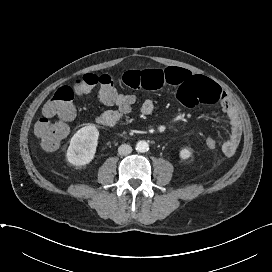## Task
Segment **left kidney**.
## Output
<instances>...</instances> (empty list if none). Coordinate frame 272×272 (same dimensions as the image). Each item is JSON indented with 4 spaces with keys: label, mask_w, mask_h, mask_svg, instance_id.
<instances>
[{
    "label": "left kidney",
    "mask_w": 272,
    "mask_h": 272,
    "mask_svg": "<svg viewBox=\"0 0 272 272\" xmlns=\"http://www.w3.org/2000/svg\"><path fill=\"white\" fill-rule=\"evenodd\" d=\"M179 156L181 159L186 160L192 157V152L188 148H183L180 150Z\"/></svg>",
    "instance_id": "1"
}]
</instances>
